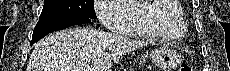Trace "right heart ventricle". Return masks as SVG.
<instances>
[{"label":"right heart ventricle","instance_id":"e07e8e85","mask_svg":"<svg viewBox=\"0 0 230 71\" xmlns=\"http://www.w3.org/2000/svg\"><path fill=\"white\" fill-rule=\"evenodd\" d=\"M118 9L124 10L130 22L125 25L120 33L132 36H146L158 39H178L183 32L178 26L163 25L159 16L169 15L172 22H184L182 7L178 2L171 3H143L142 1H128Z\"/></svg>","mask_w":230,"mask_h":71}]
</instances>
